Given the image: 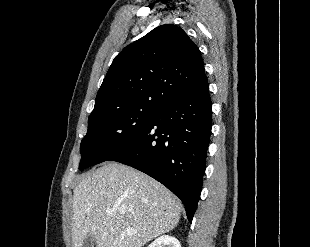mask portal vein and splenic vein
I'll return each instance as SVG.
<instances>
[{"label": "portal vein and splenic vein", "instance_id": "18ae733b", "mask_svg": "<svg viewBox=\"0 0 310 247\" xmlns=\"http://www.w3.org/2000/svg\"><path fill=\"white\" fill-rule=\"evenodd\" d=\"M106 213H107L108 215H112V214H113L112 210H106ZM126 231H127V233H128L129 235H134V234H136V231L130 230L129 228H127Z\"/></svg>", "mask_w": 310, "mask_h": 247}]
</instances>
